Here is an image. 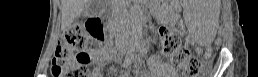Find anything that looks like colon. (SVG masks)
Listing matches in <instances>:
<instances>
[{"label":"colon","mask_w":258,"mask_h":77,"mask_svg":"<svg viewBox=\"0 0 258 77\" xmlns=\"http://www.w3.org/2000/svg\"><path fill=\"white\" fill-rule=\"evenodd\" d=\"M90 36L93 39L103 37V28L100 26L97 33L90 34ZM159 36L165 52L171 56L177 66L184 69L187 76L196 77L203 71L204 64L182 46L177 34L166 27H161ZM90 41L81 24H74L65 31L52 59V75L54 77H89L91 71L88 65L91 55L87 49Z\"/></svg>","instance_id":"5ec220e1"}]
</instances>
